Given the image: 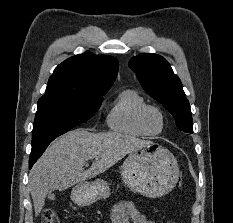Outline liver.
Masks as SVG:
<instances>
[{
	"instance_id": "6515ba94",
	"label": "liver",
	"mask_w": 233,
	"mask_h": 223,
	"mask_svg": "<svg viewBox=\"0 0 233 223\" xmlns=\"http://www.w3.org/2000/svg\"><path fill=\"white\" fill-rule=\"evenodd\" d=\"M143 143V139L133 135L116 131L90 133L84 127L68 131L52 141L29 173L36 217L43 209L49 191H62L100 175L136 147H143ZM90 159H93L90 167L84 169Z\"/></svg>"
}]
</instances>
